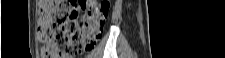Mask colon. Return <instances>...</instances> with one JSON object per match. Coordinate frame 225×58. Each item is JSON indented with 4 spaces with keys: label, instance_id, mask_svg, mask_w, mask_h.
<instances>
[{
    "label": "colon",
    "instance_id": "obj_1",
    "mask_svg": "<svg viewBox=\"0 0 225 58\" xmlns=\"http://www.w3.org/2000/svg\"><path fill=\"white\" fill-rule=\"evenodd\" d=\"M109 3L98 0L39 1L38 40L43 58H61L91 50L101 38ZM83 15L77 21L79 13Z\"/></svg>",
    "mask_w": 225,
    "mask_h": 58
}]
</instances>
